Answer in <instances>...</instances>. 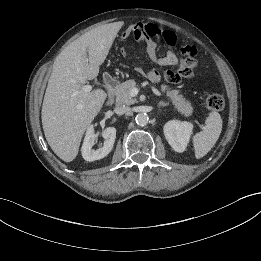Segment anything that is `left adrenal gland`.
<instances>
[{
	"mask_svg": "<svg viewBox=\"0 0 261 261\" xmlns=\"http://www.w3.org/2000/svg\"><path fill=\"white\" fill-rule=\"evenodd\" d=\"M168 106V103L160 102L158 105L159 111H161L160 107H166Z\"/></svg>",
	"mask_w": 261,
	"mask_h": 261,
	"instance_id": "a2214340",
	"label": "left adrenal gland"
}]
</instances>
